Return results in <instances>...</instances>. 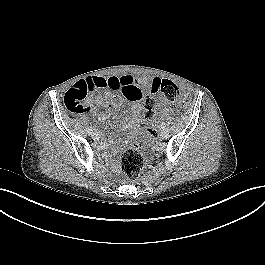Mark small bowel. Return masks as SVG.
<instances>
[{
  "instance_id": "obj_1",
  "label": "small bowel",
  "mask_w": 265,
  "mask_h": 265,
  "mask_svg": "<svg viewBox=\"0 0 265 265\" xmlns=\"http://www.w3.org/2000/svg\"><path fill=\"white\" fill-rule=\"evenodd\" d=\"M160 79L155 77L151 80L146 78L134 79L132 76H108V77H92L89 80L97 82L96 89H106L108 92L106 96L95 93L85 99L84 111L90 112L93 104L101 105L107 110L118 108L122 104V99L115 92L120 91L124 98H127L132 104V117L125 125L134 130L142 121V106L141 102L145 99V92L152 91V84L155 80ZM141 86L143 89H141ZM145 91V92H144ZM106 114H103L101 119L104 120Z\"/></svg>"
}]
</instances>
